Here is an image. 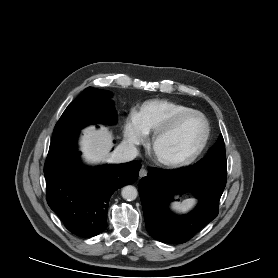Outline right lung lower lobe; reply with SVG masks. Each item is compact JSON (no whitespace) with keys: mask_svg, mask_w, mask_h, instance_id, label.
<instances>
[{"mask_svg":"<svg viewBox=\"0 0 278 278\" xmlns=\"http://www.w3.org/2000/svg\"><path fill=\"white\" fill-rule=\"evenodd\" d=\"M79 132L52 141L44 165L47 202L65 227L80 237H93L107 227L111 195L135 182L141 164L82 165L76 149Z\"/></svg>","mask_w":278,"mask_h":278,"instance_id":"obj_1","label":"right lung lower lobe"}]
</instances>
